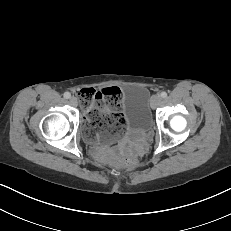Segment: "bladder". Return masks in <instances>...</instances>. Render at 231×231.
Wrapping results in <instances>:
<instances>
[{
  "instance_id": "obj_1",
  "label": "bladder",
  "mask_w": 231,
  "mask_h": 231,
  "mask_svg": "<svg viewBox=\"0 0 231 231\" xmlns=\"http://www.w3.org/2000/svg\"><path fill=\"white\" fill-rule=\"evenodd\" d=\"M123 110L129 129L137 134H146L152 128L151 101L146 88L137 84L127 86L122 94ZM82 136L90 138L87 125L82 126Z\"/></svg>"
}]
</instances>
